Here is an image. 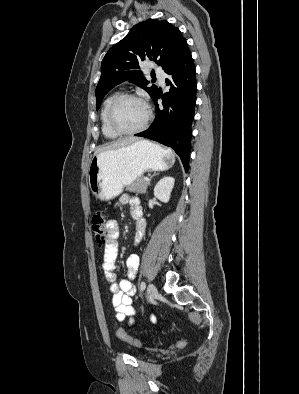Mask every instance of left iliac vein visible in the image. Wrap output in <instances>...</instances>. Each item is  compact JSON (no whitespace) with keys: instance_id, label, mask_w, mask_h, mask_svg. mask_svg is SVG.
I'll list each match as a JSON object with an SVG mask.
<instances>
[{"instance_id":"left-iliac-vein-1","label":"left iliac vein","mask_w":299,"mask_h":394,"mask_svg":"<svg viewBox=\"0 0 299 394\" xmlns=\"http://www.w3.org/2000/svg\"><path fill=\"white\" fill-rule=\"evenodd\" d=\"M147 295L149 297V299H155L158 295V291L157 288L155 287L154 284H149L148 288H147Z\"/></svg>"}]
</instances>
